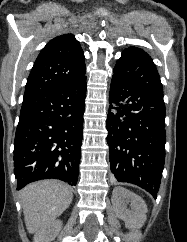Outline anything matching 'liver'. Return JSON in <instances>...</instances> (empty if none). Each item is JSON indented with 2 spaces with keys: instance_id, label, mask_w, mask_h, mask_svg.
I'll return each mask as SVG.
<instances>
[{
  "instance_id": "obj_1",
  "label": "liver",
  "mask_w": 187,
  "mask_h": 242,
  "mask_svg": "<svg viewBox=\"0 0 187 242\" xmlns=\"http://www.w3.org/2000/svg\"><path fill=\"white\" fill-rule=\"evenodd\" d=\"M72 189L56 180H43L27 185L21 191L26 229L37 233L60 216L71 204Z\"/></svg>"
}]
</instances>
